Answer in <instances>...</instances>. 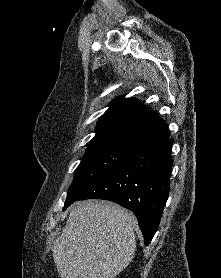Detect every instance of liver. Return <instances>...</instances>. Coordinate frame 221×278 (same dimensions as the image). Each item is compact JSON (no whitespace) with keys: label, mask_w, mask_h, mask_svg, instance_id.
Listing matches in <instances>:
<instances>
[{"label":"liver","mask_w":221,"mask_h":278,"mask_svg":"<svg viewBox=\"0 0 221 278\" xmlns=\"http://www.w3.org/2000/svg\"><path fill=\"white\" fill-rule=\"evenodd\" d=\"M134 214L109 201L88 200L72 207L53 245L62 278H115L136 249Z\"/></svg>","instance_id":"liver-1"}]
</instances>
